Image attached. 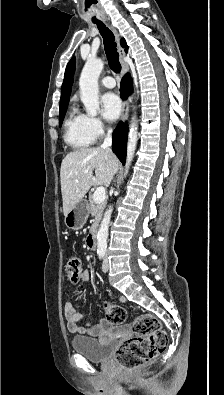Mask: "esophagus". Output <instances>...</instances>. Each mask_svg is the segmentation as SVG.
<instances>
[{
    "mask_svg": "<svg viewBox=\"0 0 224 395\" xmlns=\"http://www.w3.org/2000/svg\"><path fill=\"white\" fill-rule=\"evenodd\" d=\"M112 30H113V32L115 34V37H116V42H117V46H118L117 48H118V52H119V56H120V63H121V66H122V75H125L126 72H127V68H128L127 67V63L125 61V57H126L125 51L120 46L119 34L117 33V31L114 28H112ZM129 107H130V101L128 99L124 100L123 108H122V121L123 122H125L127 117H128Z\"/></svg>",
    "mask_w": 224,
    "mask_h": 395,
    "instance_id": "esophagus-1",
    "label": "esophagus"
}]
</instances>
